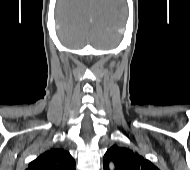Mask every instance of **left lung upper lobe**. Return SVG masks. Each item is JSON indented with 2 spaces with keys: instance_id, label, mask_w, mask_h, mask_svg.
Returning a JSON list of instances; mask_svg holds the SVG:
<instances>
[{
  "instance_id": "left-lung-upper-lobe-1",
  "label": "left lung upper lobe",
  "mask_w": 190,
  "mask_h": 170,
  "mask_svg": "<svg viewBox=\"0 0 190 170\" xmlns=\"http://www.w3.org/2000/svg\"><path fill=\"white\" fill-rule=\"evenodd\" d=\"M110 161L114 163L115 170H159L138 153L117 145H113L104 155L103 165L105 170H109Z\"/></svg>"
}]
</instances>
